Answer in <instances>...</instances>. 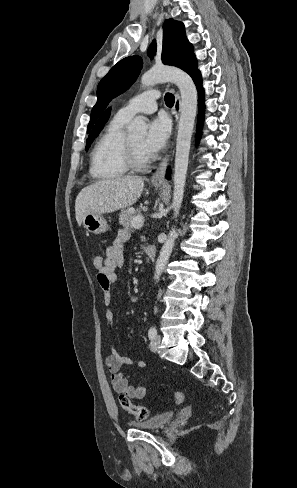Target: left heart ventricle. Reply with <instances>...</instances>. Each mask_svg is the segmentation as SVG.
Listing matches in <instances>:
<instances>
[{"label":"left heart ventricle","instance_id":"1","mask_svg":"<svg viewBox=\"0 0 297 488\" xmlns=\"http://www.w3.org/2000/svg\"><path fill=\"white\" fill-rule=\"evenodd\" d=\"M143 139H144V135H138L130 138V141L132 142L133 146L136 149L138 158L142 160L148 158L142 150Z\"/></svg>","mask_w":297,"mask_h":488}]
</instances>
